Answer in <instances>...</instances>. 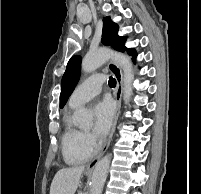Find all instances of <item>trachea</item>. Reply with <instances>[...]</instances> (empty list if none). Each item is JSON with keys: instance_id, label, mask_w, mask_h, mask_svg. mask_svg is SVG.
I'll return each mask as SVG.
<instances>
[{"instance_id": "3493384b", "label": "trachea", "mask_w": 201, "mask_h": 194, "mask_svg": "<svg viewBox=\"0 0 201 194\" xmlns=\"http://www.w3.org/2000/svg\"><path fill=\"white\" fill-rule=\"evenodd\" d=\"M108 84L110 87H115L116 86V79L113 77L109 78Z\"/></svg>"}]
</instances>
